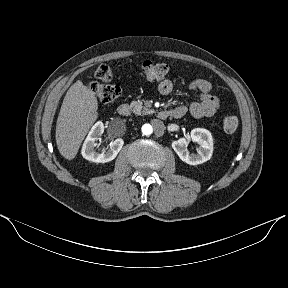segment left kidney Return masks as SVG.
Listing matches in <instances>:
<instances>
[{
	"mask_svg": "<svg viewBox=\"0 0 288 288\" xmlns=\"http://www.w3.org/2000/svg\"><path fill=\"white\" fill-rule=\"evenodd\" d=\"M191 140L197 142L200 147L197 154H190L186 145L188 141L180 138L172 143V148L179 158L189 165H198L208 161L213 153V138L211 133L203 128H195L191 131Z\"/></svg>",
	"mask_w": 288,
	"mask_h": 288,
	"instance_id": "1",
	"label": "left kidney"
}]
</instances>
